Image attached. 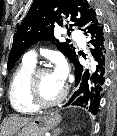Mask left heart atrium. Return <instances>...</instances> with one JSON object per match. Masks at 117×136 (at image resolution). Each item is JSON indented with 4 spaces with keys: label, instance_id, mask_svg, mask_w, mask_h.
<instances>
[{
    "label": "left heart atrium",
    "instance_id": "obj_1",
    "mask_svg": "<svg viewBox=\"0 0 117 136\" xmlns=\"http://www.w3.org/2000/svg\"><path fill=\"white\" fill-rule=\"evenodd\" d=\"M55 76L64 83L67 73L66 65L63 61H59L56 65L55 70L53 71Z\"/></svg>",
    "mask_w": 117,
    "mask_h": 136
}]
</instances>
